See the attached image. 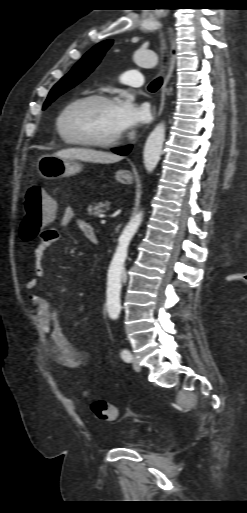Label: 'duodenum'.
Returning <instances> with one entry per match:
<instances>
[{"label": "duodenum", "instance_id": "obj_1", "mask_svg": "<svg viewBox=\"0 0 247 513\" xmlns=\"http://www.w3.org/2000/svg\"><path fill=\"white\" fill-rule=\"evenodd\" d=\"M88 239H89V241H91L94 244L98 243V238L95 233L89 234Z\"/></svg>", "mask_w": 247, "mask_h": 513}]
</instances>
